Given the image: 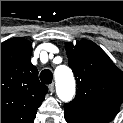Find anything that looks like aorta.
Instances as JSON below:
<instances>
[{"label": "aorta", "mask_w": 123, "mask_h": 123, "mask_svg": "<svg viewBox=\"0 0 123 123\" xmlns=\"http://www.w3.org/2000/svg\"><path fill=\"white\" fill-rule=\"evenodd\" d=\"M57 95L64 102L70 101L75 94V80L71 69L59 66L55 70Z\"/></svg>", "instance_id": "762f6f07"}]
</instances>
